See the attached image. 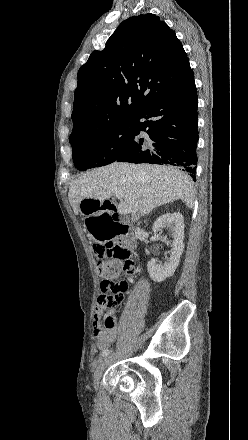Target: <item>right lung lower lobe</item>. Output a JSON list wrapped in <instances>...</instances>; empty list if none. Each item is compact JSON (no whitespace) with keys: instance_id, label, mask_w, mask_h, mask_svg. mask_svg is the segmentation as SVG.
<instances>
[{"instance_id":"98d812e1","label":"right lung lower lobe","mask_w":248,"mask_h":440,"mask_svg":"<svg viewBox=\"0 0 248 440\" xmlns=\"http://www.w3.org/2000/svg\"><path fill=\"white\" fill-rule=\"evenodd\" d=\"M197 106L194 81L147 102L132 116L128 149L116 161L170 164L190 173L195 181Z\"/></svg>"}]
</instances>
